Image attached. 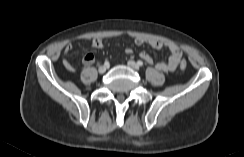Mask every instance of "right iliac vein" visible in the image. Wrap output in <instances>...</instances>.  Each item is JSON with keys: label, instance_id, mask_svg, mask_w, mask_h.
Wrapping results in <instances>:
<instances>
[{"label": "right iliac vein", "instance_id": "obj_1", "mask_svg": "<svg viewBox=\"0 0 244 157\" xmlns=\"http://www.w3.org/2000/svg\"><path fill=\"white\" fill-rule=\"evenodd\" d=\"M106 70H107V66H105V65L100 66L98 69L99 73H101V74L105 73Z\"/></svg>", "mask_w": 244, "mask_h": 157}]
</instances>
